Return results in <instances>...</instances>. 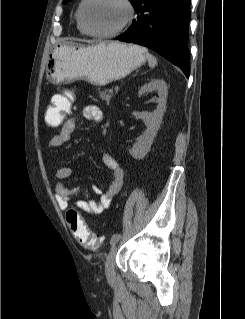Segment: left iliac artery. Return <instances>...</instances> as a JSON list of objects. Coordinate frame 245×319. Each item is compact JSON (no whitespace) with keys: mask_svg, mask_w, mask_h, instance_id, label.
Segmentation results:
<instances>
[{"mask_svg":"<svg viewBox=\"0 0 245 319\" xmlns=\"http://www.w3.org/2000/svg\"><path fill=\"white\" fill-rule=\"evenodd\" d=\"M120 238H121V234L116 233L111 237L110 243L114 245L115 243L119 241Z\"/></svg>","mask_w":245,"mask_h":319,"instance_id":"1","label":"left iliac artery"}]
</instances>
